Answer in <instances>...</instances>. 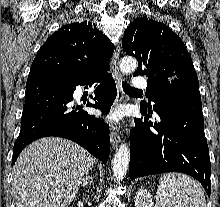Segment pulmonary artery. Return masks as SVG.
<instances>
[{
  "instance_id": "obj_1",
  "label": "pulmonary artery",
  "mask_w": 220,
  "mask_h": 207,
  "mask_svg": "<svg viewBox=\"0 0 220 207\" xmlns=\"http://www.w3.org/2000/svg\"><path fill=\"white\" fill-rule=\"evenodd\" d=\"M133 87L137 89H146L147 81L144 78L137 77L133 80Z\"/></svg>"
}]
</instances>
